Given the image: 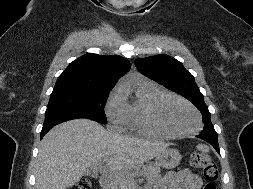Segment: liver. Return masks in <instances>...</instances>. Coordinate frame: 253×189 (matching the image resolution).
I'll use <instances>...</instances> for the list:
<instances>
[{"instance_id":"obj_1","label":"liver","mask_w":253,"mask_h":189,"mask_svg":"<svg viewBox=\"0 0 253 189\" xmlns=\"http://www.w3.org/2000/svg\"><path fill=\"white\" fill-rule=\"evenodd\" d=\"M168 146L106 130L89 119L69 120L55 126L42 139L35 186L36 189H67L88 169L97 170L98 164L106 162L116 175L124 177L122 189H131L132 170Z\"/></svg>"}]
</instances>
